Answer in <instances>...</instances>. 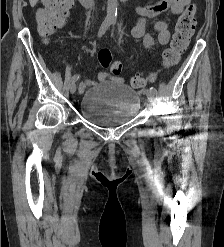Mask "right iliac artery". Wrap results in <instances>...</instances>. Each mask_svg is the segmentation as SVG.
<instances>
[{"instance_id":"right-iliac-artery-1","label":"right iliac artery","mask_w":224,"mask_h":247,"mask_svg":"<svg viewBox=\"0 0 224 247\" xmlns=\"http://www.w3.org/2000/svg\"><path fill=\"white\" fill-rule=\"evenodd\" d=\"M112 20L109 18H106L103 23L101 24L99 31H98V37H101L109 28V26L111 25ZM79 79V75H74L71 78L72 82H76Z\"/></svg>"}]
</instances>
